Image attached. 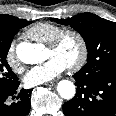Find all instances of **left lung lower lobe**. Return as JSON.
Instances as JSON below:
<instances>
[{
  "label": "left lung lower lobe",
  "mask_w": 116,
  "mask_h": 116,
  "mask_svg": "<svg viewBox=\"0 0 116 116\" xmlns=\"http://www.w3.org/2000/svg\"><path fill=\"white\" fill-rule=\"evenodd\" d=\"M77 92L63 104L65 116H116V73L87 78L74 74Z\"/></svg>",
  "instance_id": "1"
}]
</instances>
